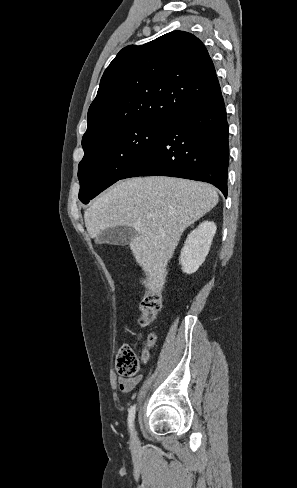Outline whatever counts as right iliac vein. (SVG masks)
<instances>
[{
    "label": "right iliac vein",
    "mask_w": 297,
    "mask_h": 488,
    "mask_svg": "<svg viewBox=\"0 0 297 488\" xmlns=\"http://www.w3.org/2000/svg\"><path fill=\"white\" fill-rule=\"evenodd\" d=\"M132 444L133 445H137V436H136V432H134L132 434V440H131Z\"/></svg>",
    "instance_id": "1"
}]
</instances>
